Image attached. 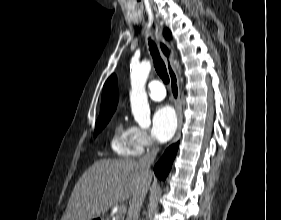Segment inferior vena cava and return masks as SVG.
<instances>
[{
  "label": "inferior vena cava",
  "instance_id": "1",
  "mask_svg": "<svg viewBox=\"0 0 281 220\" xmlns=\"http://www.w3.org/2000/svg\"><path fill=\"white\" fill-rule=\"evenodd\" d=\"M158 151H159V147L157 145H153L150 151H148L138 161L140 167L143 170L145 178L142 180L140 186L133 193L132 200L130 201L129 204L126 220H138L140 209L142 207L145 195L150 186V175H151L150 166L154 162Z\"/></svg>",
  "mask_w": 281,
  "mask_h": 220
}]
</instances>
